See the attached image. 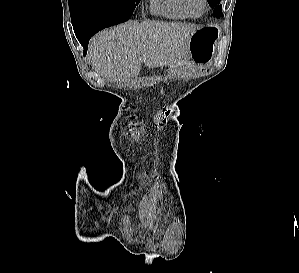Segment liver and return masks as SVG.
Listing matches in <instances>:
<instances>
[{
	"instance_id": "liver-1",
	"label": "liver",
	"mask_w": 299,
	"mask_h": 273,
	"mask_svg": "<svg viewBox=\"0 0 299 273\" xmlns=\"http://www.w3.org/2000/svg\"><path fill=\"white\" fill-rule=\"evenodd\" d=\"M200 27L193 24L128 22L93 37L89 57L95 71L111 79H137L142 62L148 68L190 65L189 41Z\"/></svg>"
}]
</instances>
